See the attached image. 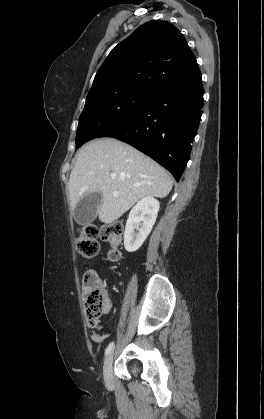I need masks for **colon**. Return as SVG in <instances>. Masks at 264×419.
<instances>
[{"mask_svg":"<svg viewBox=\"0 0 264 419\" xmlns=\"http://www.w3.org/2000/svg\"><path fill=\"white\" fill-rule=\"evenodd\" d=\"M122 231L123 227L119 222L102 228L95 224H87L83 226L81 235L76 240V249L84 258H94L99 252V244L96 238L100 236L112 246L108 252V259L117 261L120 258V252L116 247L120 242ZM82 295L87 323L91 328H97L108 297L104 283L95 272L88 271L84 275Z\"/></svg>","mask_w":264,"mask_h":419,"instance_id":"5ec220e1","label":"colon"}]
</instances>
